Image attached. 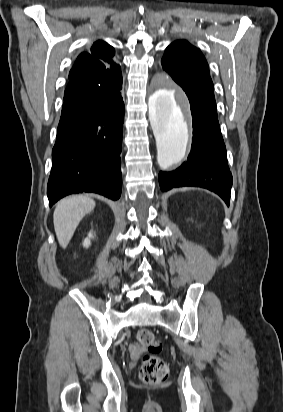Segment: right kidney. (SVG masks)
I'll return each mask as SVG.
<instances>
[{
    "instance_id": "obj_1",
    "label": "right kidney",
    "mask_w": 283,
    "mask_h": 412,
    "mask_svg": "<svg viewBox=\"0 0 283 412\" xmlns=\"http://www.w3.org/2000/svg\"><path fill=\"white\" fill-rule=\"evenodd\" d=\"M91 238H93V233L92 232H90L89 234H88V237L84 240V242H83V246L84 247H86V248H88L89 246H90V243H91Z\"/></svg>"
}]
</instances>
